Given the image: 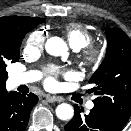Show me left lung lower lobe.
<instances>
[{
	"mask_svg": "<svg viewBox=\"0 0 131 131\" xmlns=\"http://www.w3.org/2000/svg\"><path fill=\"white\" fill-rule=\"evenodd\" d=\"M74 109V117L65 126L66 131H119L124 126L99 106H94L90 113L84 116H81L77 105Z\"/></svg>",
	"mask_w": 131,
	"mask_h": 131,
	"instance_id": "obj_1",
	"label": "left lung lower lobe"
}]
</instances>
